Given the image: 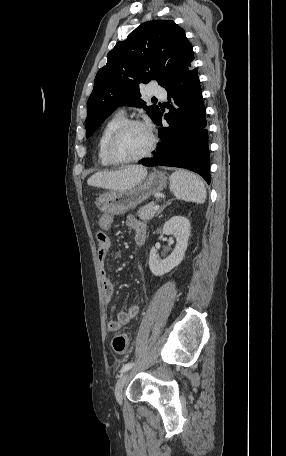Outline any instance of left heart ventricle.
Masks as SVG:
<instances>
[{"label": "left heart ventricle", "instance_id": "left-heart-ventricle-1", "mask_svg": "<svg viewBox=\"0 0 286 456\" xmlns=\"http://www.w3.org/2000/svg\"><path fill=\"white\" fill-rule=\"evenodd\" d=\"M149 142V135L144 127L130 126L116 141L115 152L124 159L135 158L147 150Z\"/></svg>", "mask_w": 286, "mask_h": 456}]
</instances>
